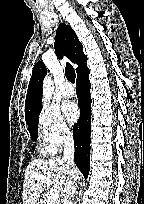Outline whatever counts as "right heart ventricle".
Returning a JSON list of instances; mask_svg holds the SVG:
<instances>
[{
  "instance_id": "e07e8e85",
  "label": "right heart ventricle",
  "mask_w": 144,
  "mask_h": 204,
  "mask_svg": "<svg viewBox=\"0 0 144 204\" xmlns=\"http://www.w3.org/2000/svg\"><path fill=\"white\" fill-rule=\"evenodd\" d=\"M42 152H43V153H49V152H47L46 150H44L43 148H42Z\"/></svg>"
}]
</instances>
